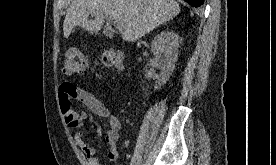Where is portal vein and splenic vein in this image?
Wrapping results in <instances>:
<instances>
[{
    "label": "portal vein and splenic vein",
    "instance_id": "obj_1",
    "mask_svg": "<svg viewBox=\"0 0 276 165\" xmlns=\"http://www.w3.org/2000/svg\"><path fill=\"white\" fill-rule=\"evenodd\" d=\"M113 24H114V26H115L116 28H118V29H120V28L122 27V24H121V22H120L119 20H115V21L113 22Z\"/></svg>",
    "mask_w": 276,
    "mask_h": 165
}]
</instances>
